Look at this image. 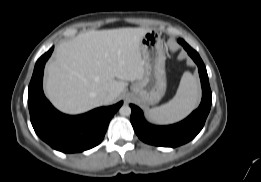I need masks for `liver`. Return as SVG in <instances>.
<instances>
[{
  "mask_svg": "<svg viewBox=\"0 0 261 182\" xmlns=\"http://www.w3.org/2000/svg\"><path fill=\"white\" fill-rule=\"evenodd\" d=\"M150 30H91L61 43L47 65L48 99L68 114L114 103L128 81L144 75L140 41Z\"/></svg>",
  "mask_w": 261,
  "mask_h": 182,
  "instance_id": "6515ba94",
  "label": "liver"
}]
</instances>
